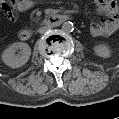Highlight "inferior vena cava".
Listing matches in <instances>:
<instances>
[{
    "label": "inferior vena cava",
    "instance_id": "obj_1",
    "mask_svg": "<svg viewBox=\"0 0 119 119\" xmlns=\"http://www.w3.org/2000/svg\"><path fill=\"white\" fill-rule=\"evenodd\" d=\"M49 29H50L49 26H44V27H41L38 31H39L40 34H43L46 31H48Z\"/></svg>",
    "mask_w": 119,
    "mask_h": 119
}]
</instances>
